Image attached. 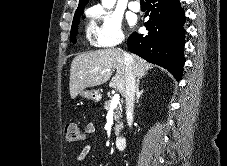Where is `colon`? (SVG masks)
<instances>
[{
	"label": "colon",
	"instance_id": "colon-1",
	"mask_svg": "<svg viewBox=\"0 0 227 166\" xmlns=\"http://www.w3.org/2000/svg\"><path fill=\"white\" fill-rule=\"evenodd\" d=\"M65 138L70 144H76L84 139V135L80 128L74 123L65 125Z\"/></svg>",
	"mask_w": 227,
	"mask_h": 166
}]
</instances>
